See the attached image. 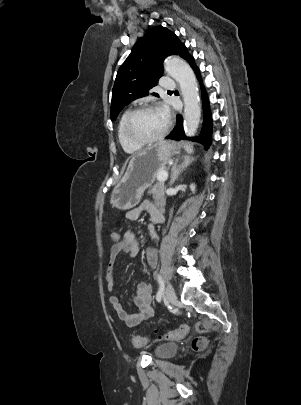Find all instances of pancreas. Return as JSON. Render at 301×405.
<instances>
[{"label":"pancreas","mask_w":301,"mask_h":405,"mask_svg":"<svg viewBox=\"0 0 301 405\" xmlns=\"http://www.w3.org/2000/svg\"><path fill=\"white\" fill-rule=\"evenodd\" d=\"M160 171H165V169H160L157 172V175ZM148 194L153 195V200L155 204L159 207H164L166 204V197H165V186L162 181H158L151 190L148 191Z\"/></svg>","instance_id":"pancreas-1"}]
</instances>
